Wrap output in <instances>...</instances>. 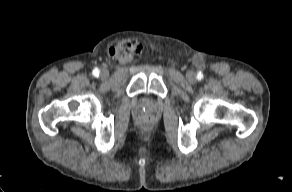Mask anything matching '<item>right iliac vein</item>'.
Instances as JSON below:
<instances>
[{
  "label": "right iliac vein",
  "mask_w": 292,
  "mask_h": 192,
  "mask_svg": "<svg viewBox=\"0 0 292 192\" xmlns=\"http://www.w3.org/2000/svg\"><path fill=\"white\" fill-rule=\"evenodd\" d=\"M101 78H107L108 77V72L106 70H102L100 74Z\"/></svg>",
  "instance_id": "63e3f726"
}]
</instances>
